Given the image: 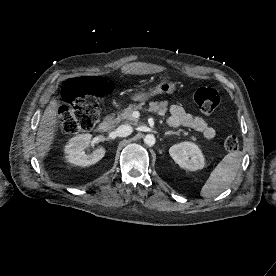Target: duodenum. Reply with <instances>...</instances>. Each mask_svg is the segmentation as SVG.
<instances>
[{"mask_svg":"<svg viewBox=\"0 0 276 276\" xmlns=\"http://www.w3.org/2000/svg\"><path fill=\"white\" fill-rule=\"evenodd\" d=\"M112 122L108 119L101 121L98 124L97 130L99 133H106L110 130Z\"/></svg>","mask_w":276,"mask_h":276,"instance_id":"410a0bca","label":"duodenum"}]
</instances>
